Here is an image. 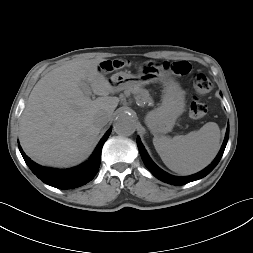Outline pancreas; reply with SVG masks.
Instances as JSON below:
<instances>
[{
    "mask_svg": "<svg viewBox=\"0 0 253 253\" xmlns=\"http://www.w3.org/2000/svg\"><path fill=\"white\" fill-rule=\"evenodd\" d=\"M128 91L133 93L135 95L136 100L142 104L152 102L150 94L146 89H143L140 87H135V88H132Z\"/></svg>",
    "mask_w": 253,
    "mask_h": 253,
    "instance_id": "1",
    "label": "pancreas"
}]
</instances>
